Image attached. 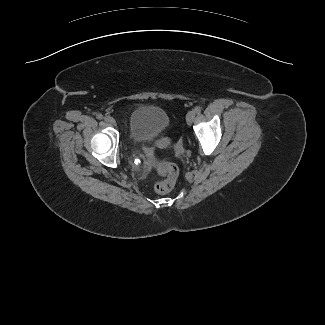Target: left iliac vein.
I'll list each match as a JSON object with an SVG mask.
<instances>
[{
    "label": "left iliac vein",
    "instance_id": "obj_1",
    "mask_svg": "<svg viewBox=\"0 0 325 325\" xmlns=\"http://www.w3.org/2000/svg\"><path fill=\"white\" fill-rule=\"evenodd\" d=\"M195 119V111L191 110L186 115V121L188 125H191L194 122Z\"/></svg>",
    "mask_w": 325,
    "mask_h": 325
}]
</instances>
